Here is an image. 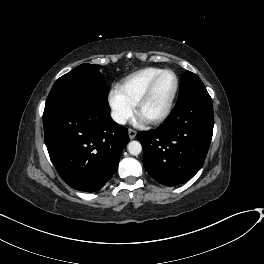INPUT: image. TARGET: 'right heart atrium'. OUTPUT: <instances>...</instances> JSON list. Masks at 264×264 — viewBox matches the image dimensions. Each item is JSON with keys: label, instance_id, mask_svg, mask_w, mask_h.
<instances>
[{"label": "right heart atrium", "instance_id": "d8ad5b80", "mask_svg": "<svg viewBox=\"0 0 264 264\" xmlns=\"http://www.w3.org/2000/svg\"><path fill=\"white\" fill-rule=\"evenodd\" d=\"M109 104L112 110V117L118 124H125L135 111L134 104L119 89L111 90Z\"/></svg>", "mask_w": 264, "mask_h": 264}]
</instances>
